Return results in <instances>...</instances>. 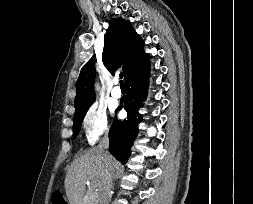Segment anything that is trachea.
<instances>
[{
	"label": "trachea",
	"mask_w": 253,
	"mask_h": 204,
	"mask_svg": "<svg viewBox=\"0 0 253 204\" xmlns=\"http://www.w3.org/2000/svg\"><path fill=\"white\" fill-rule=\"evenodd\" d=\"M122 78H123V73H120V79H121L120 85L125 86V83L122 81Z\"/></svg>",
	"instance_id": "trachea-1"
}]
</instances>
